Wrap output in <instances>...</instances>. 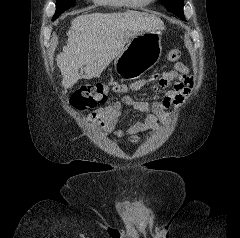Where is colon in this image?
<instances>
[{"instance_id":"5ec220e1","label":"colon","mask_w":240,"mask_h":238,"mask_svg":"<svg viewBox=\"0 0 240 238\" xmlns=\"http://www.w3.org/2000/svg\"><path fill=\"white\" fill-rule=\"evenodd\" d=\"M180 57L178 49H171L166 55V59L175 62ZM108 88L105 84H83L73 93L70 104L77 111L89 110L95 107L97 102L107 98Z\"/></svg>"}]
</instances>
